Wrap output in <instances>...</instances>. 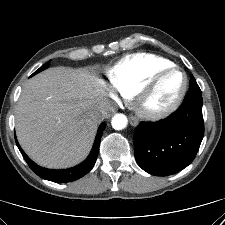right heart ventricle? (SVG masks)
Instances as JSON below:
<instances>
[{
    "label": "right heart ventricle",
    "instance_id": "1",
    "mask_svg": "<svg viewBox=\"0 0 225 225\" xmlns=\"http://www.w3.org/2000/svg\"><path fill=\"white\" fill-rule=\"evenodd\" d=\"M173 65L172 61L161 56L137 53L116 64L109 71V81L123 98L131 99L153 75Z\"/></svg>",
    "mask_w": 225,
    "mask_h": 225
}]
</instances>
